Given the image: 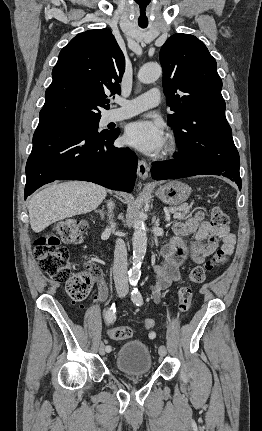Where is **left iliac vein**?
Listing matches in <instances>:
<instances>
[{
    "mask_svg": "<svg viewBox=\"0 0 262 431\" xmlns=\"http://www.w3.org/2000/svg\"><path fill=\"white\" fill-rule=\"evenodd\" d=\"M158 352H159V355H160V357H161V358L165 357V356H166V354H167L166 347H165L164 345H161V346L159 347Z\"/></svg>",
    "mask_w": 262,
    "mask_h": 431,
    "instance_id": "obj_1",
    "label": "left iliac vein"
}]
</instances>
